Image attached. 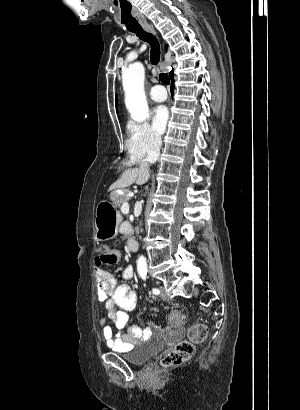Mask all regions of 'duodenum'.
<instances>
[{
    "label": "duodenum",
    "mask_w": 300,
    "mask_h": 410,
    "mask_svg": "<svg viewBox=\"0 0 300 410\" xmlns=\"http://www.w3.org/2000/svg\"><path fill=\"white\" fill-rule=\"evenodd\" d=\"M128 248H129L131 251H136V249H137V243H136L134 240H131V241L128 243Z\"/></svg>",
    "instance_id": "1"
}]
</instances>
